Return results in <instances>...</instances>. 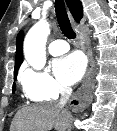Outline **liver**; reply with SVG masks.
I'll return each mask as SVG.
<instances>
[{"instance_id":"6515ba94","label":"liver","mask_w":117,"mask_h":131,"mask_svg":"<svg viewBox=\"0 0 117 131\" xmlns=\"http://www.w3.org/2000/svg\"><path fill=\"white\" fill-rule=\"evenodd\" d=\"M70 114L59 104H39L19 110L10 131H65L69 125Z\"/></svg>"}]
</instances>
